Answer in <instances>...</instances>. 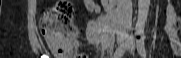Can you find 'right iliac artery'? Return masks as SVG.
Wrapping results in <instances>:
<instances>
[{
  "mask_svg": "<svg viewBox=\"0 0 181 58\" xmlns=\"http://www.w3.org/2000/svg\"><path fill=\"white\" fill-rule=\"evenodd\" d=\"M127 47H128V44H125L124 46L118 47L117 50L114 53V58L122 57L124 55Z\"/></svg>",
  "mask_w": 181,
  "mask_h": 58,
  "instance_id": "obj_1",
  "label": "right iliac artery"
}]
</instances>
